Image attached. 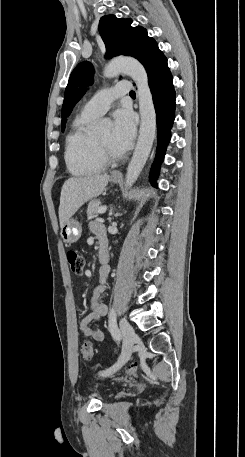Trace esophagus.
Masks as SVG:
<instances>
[{"mask_svg":"<svg viewBox=\"0 0 245 457\" xmlns=\"http://www.w3.org/2000/svg\"><path fill=\"white\" fill-rule=\"evenodd\" d=\"M113 177H123V174L120 172V170H115L114 172L111 173Z\"/></svg>","mask_w":245,"mask_h":457,"instance_id":"obj_1","label":"esophagus"}]
</instances>
